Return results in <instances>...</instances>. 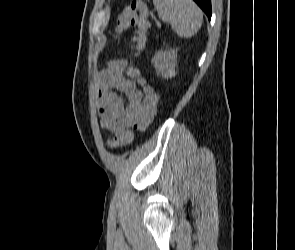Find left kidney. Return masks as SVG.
<instances>
[{
	"label": "left kidney",
	"mask_w": 295,
	"mask_h": 250,
	"mask_svg": "<svg viewBox=\"0 0 295 250\" xmlns=\"http://www.w3.org/2000/svg\"><path fill=\"white\" fill-rule=\"evenodd\" d=\"M152 64L157 73L163 78L168 79L174 77L177 64V49L157 52L152 58Z\"/></svg>",
	"instance_id": "5707ae66"
}]
</instances>
